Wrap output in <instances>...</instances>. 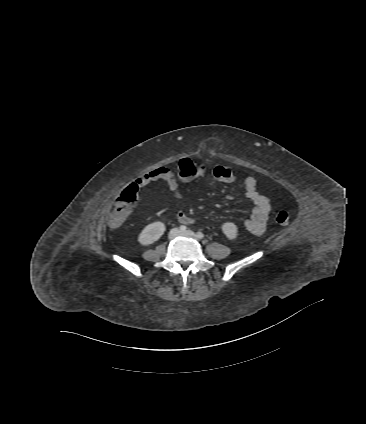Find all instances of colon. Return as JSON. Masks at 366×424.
<instances>
[{"label": "colon", "mask_w": 366, "mask_h": 424, "mask_svg": "<svg viewBox=\"0 0 366 424\" xmlns=\"http://www.w3.org/2000/svg\"><path fill=\"white\" fill-rule=\"evenodd\" d=\"M204 172L205 167L196 160L182 159L178 163L177 173L182 181L201 176ZM212 176L220 182H231L235 173L231 166L219 165L212 169ZM137 191V186L131 185L120 195L109 216L108 222L111 228L117 229L125 222L137 200ZM276 220L280 225H289L292 221V214L289 211L282 210L277 214Z\"/></svg>", "instance_id": "1"}]
</instances>
